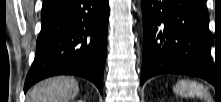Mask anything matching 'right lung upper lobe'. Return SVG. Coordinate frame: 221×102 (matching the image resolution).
<instances>
[{
  "label": "right lung upper lobe",
  "mask_w": 221,
  "mask_h": 102,
  "mask_svg": "<svg viewBox=\"0 0 221 102\" xmlns=\"http://www.w3.org/2000/svg\"><path fill=\"white\" fill-rule=\"evenodd\" d=\"M59 1L60 0H44L42 6V13L48 11L49 9L57 5Z\"/></svg>",
  "instance_id": "cb5924a9"
}]
</instances>
